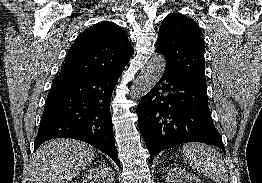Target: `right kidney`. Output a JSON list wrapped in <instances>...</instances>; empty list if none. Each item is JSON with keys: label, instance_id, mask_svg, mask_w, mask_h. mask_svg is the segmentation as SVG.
Masks as SVG:
<instances>
[{"label": "right kidney", "instance_id": "obj_1", "mask_svg": "<svg viewBox=\"0 0 262 183\" xmlns=\"http://www.w3.org/2000/svg\"><path fill=\"white\" fill-rule=\"evenodd\" d=\"M115 183L114 172L107 164L88 170L80 183Z\"/></svg>", "mask_w": 262, "mask_h": 183}]
</instances>
